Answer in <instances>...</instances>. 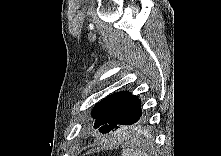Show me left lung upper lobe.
Returning <instances> with one entry per match:
<instances>
[{"label":"left lung upper lobe","instance_id":"1","mask_svg":"<svg viewBox=\"0 0 221 156\" xmlns=\"http://www.w3.org/2000/svg\"><path fill=\"white\" fill-rule=\"evenodd\" d=\"M95 120L94 128L101 133L140 123L144 116L141 111V102L138 97L128 91H120L109 95L98 102L92 109Z\"/></svg>","mask_w":221,"mask_h":156}]
</instances>
